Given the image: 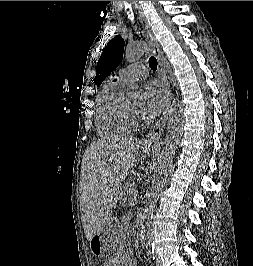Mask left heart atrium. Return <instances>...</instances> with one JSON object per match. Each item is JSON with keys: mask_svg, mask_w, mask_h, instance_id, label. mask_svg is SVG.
<instances>
[{"mask_svg": "<svg viewBox=\"0 0 253 266\" xmlns=\"http://www.w3.org/2000/svg\"><path fill=\"white\" fill-rule=\"evenodd\" d=\"M166 104V94L163 87L156 82L144 85L140 98L139 110L146 117L158 115Z\"/></svg>", "mask_w": 253, "mask_h": 266, "instance_id": "obj_1", "label": "left heart atrium"}]
</instances>
